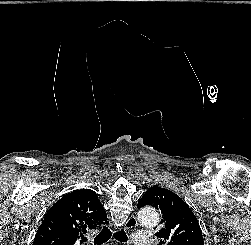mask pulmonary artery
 I'll list each match as a JSON object with an SVG mask.
<instances>
[{"instance_id": "pulmonary-artery-1", "label": "pulmonary artery", "mask_w": 251, "mask_h": 245, "mask_svg": "<svg viewBox=\"0 0 251 245\" xmlns=\"http://www.w3.org/2000/svg\"><path fill=\"white\" fill-rule=\"evenodd\" d=\"M134 245H153L154 239L151 235L144 232H134L132 234Z\"/></svg>"}]
</instances>
